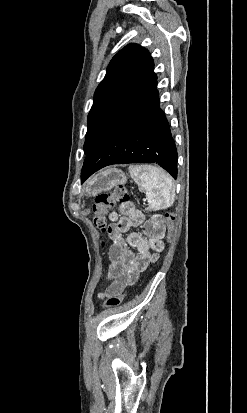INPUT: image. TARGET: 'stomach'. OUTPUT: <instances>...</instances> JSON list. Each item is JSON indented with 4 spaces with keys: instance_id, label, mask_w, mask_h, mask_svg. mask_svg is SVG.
I'll return each mask as SVG.
<instances>
[{
    "instance_id": "stomach-1",
    "label": "stomach",
    "mask_w": 247,
    "mask_h": 413,
    "mask_svg": "<svg viewBox=\"0 0 247 413\" xmlns=\"http://www.w3.org/2000/svg\"><path fill=\"white\" fill-rule=\"evenodd\" d=\"M126 182L127 176L123 170L115 168V166H108V168H104L98 174L88 178L85 184V194L86 196H97L104 190H111L114 186L126 184Z\"/></svg>"
}]
</instances>
